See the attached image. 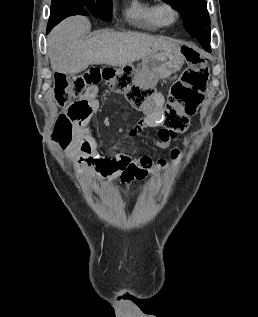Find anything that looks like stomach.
Here are the masks:
<instances>
[{"mask_svg": "<svg viewBox=\"0 0 258 317\" xmlns=\"http://www.w3.org/2000/svg\"><path fill=\"white\" fill-rule=\"evenodd\" d=\"M184 54L182 52V44H178L171 50H158L151 52L148 56L142 58V66L140 74H158V76H170L172 72H176L184 64ZM132 70H135L133 64H128Z\"/></svg>", "mask_w": 258, "mask_h": 317, "instance_id": "1", "label": "stomach"}]
</instances>
